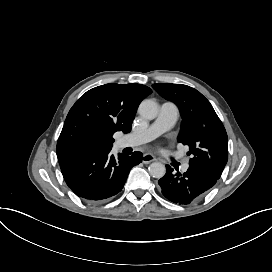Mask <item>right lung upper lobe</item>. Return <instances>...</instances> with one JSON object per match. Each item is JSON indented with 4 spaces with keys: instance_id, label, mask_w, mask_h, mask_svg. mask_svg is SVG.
I'll return each mask as SVG.
<instances>
[{
    "instance_id": "right-lung-upper-lobe-1",
    "label": "right lung upper lobe",
    "mask_w": 272,
    "mask_h": 272,
    "mask_svg": "<svg viewBox=\"0 0 272 272\" xmlns=\"http://www.w3.org/2000/svg\"><path fill=\"white\" fill-rule=\"evenodd\" d=\"M151 93L145 85L115 83L87 91L66 117L57 142L58 161L111 150L113 134L130 132L139 104Z\"/></svg>"
}]
</instances>
